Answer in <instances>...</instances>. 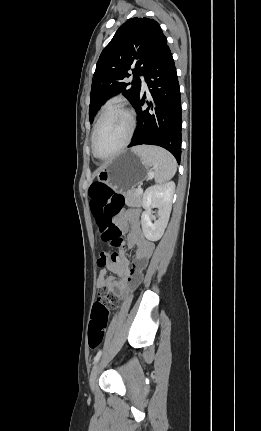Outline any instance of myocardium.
I'll use <instances>...</instances> for the list:
<instances>
[{
    "label": "myocardium",
    "instance_id": "1",
    "mask_svg": "<svg viewBox=\"0 0 261 431\" xmlns=\"http://www.w3.org/2000/svg\"><path fill=\"white\" fill-rule=\"evenodd\" d=\"M112 110H119V111H122L123 113H125V115H126V116H127V118H128V121H129V130H128V134H127V136H126V138H125L124 142L121 144V146H120L116 151H114L113 153H111L110 155H107V156H100V155L97 153V151H96V146H95L97 132H98V130H99V127H100V125H101V123H102V120H103L104 116H105L108 112H110V111H112ZM135 128H136L135 115H134L133 111H132L130 108L126 107V106H125V105H123V104H111V105L107 106V107H106V108H104V109L102 110V112L100 113V115H99V117H98V119H97V122H96V124H95V126H94L93 132H92V137H91V148H92V153H93V155H94L96 158H98V159H101V160H107V159L113 158V157H115L116 155L120 154V153H121V152H122V151H123V150H124L128 145H129V143H130V141H131V139H132V137H133V134H134Z\"/></svg>",
    "mask_w": 261,
    "mask_h": 431
}]
</instances>
